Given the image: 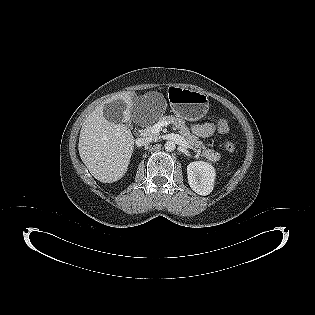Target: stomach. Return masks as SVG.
I'll use <instances>...</instances> for the list:
<instances>
[{
	"label": "stomach",
	"mask_w": 315,
	"mask_h": 315,
	"mask_svg": "<svg viewBox=\"0 0 315 315\" xmlns=\"http://www.w3.org/2000/svg\"><path fill=\"white\" fill-rule=\"evenodd\" d=\"M172 112L185 120L197 121L203 118L209 109V100L203 92L172 86L167 91Z\"/></svg>",
	"instance_id": "obj_1"
}]
</instances>
